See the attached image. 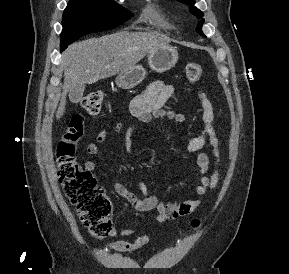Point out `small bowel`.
Masks as SVG:
<instances>
[{"mask_svg":"<svg viewBox=\"0 0 289 274\" xmlns=\"http://www.w3.org/2000/svg\"><path fill=\"white\" fill-rule=\"evenodd\" d=\"M175 91L172 84H167L163 81H154L150 83L145 90L137 96L131 104L133 115L137 122L126 129V135L129 138L136 130L138 124L148 123L154 119H167L181 123L185 117L181 113L166 108L167 101L171 98ZM197 96L200 100L201 113V129L198 135L191 138L184 146V152L194 155L195 163L198 168L199 181L195 185V193L199 196L196 199H187L179 203H164L158 199L155 194L148 192L146 186L139 182L137 189L142 197H138L134 192L127 189L122 183L115 182L113 185L114 191L122 198L126 199L137 211L149 212L156 211L155 219L157 222H165L176 220L180 217L188 216L196 211L203 203L201 196L208 191L214 189L219 181V167L221 163V152L219 140L214 128L215 112L214 107L208 96L197 91ZM115 132L122 133L124 125L117 123L114 127ZM109 136L107 130H103L96 136V142L91 143L87 147V152L91 155H96L100 152L99 144L105 141ZM206 146L211 147V155L214 162V171L208 174L211 166L210 155L204 151ZM85 170L92 172L96 168V163L92 159H87L84 162ZM133 233L129 229L113 230L112 236H130ZM151 241L150 236L140 235L133 241L116 239L106 243V247L112 251L126 253L138 250Z\"/></svg>","mask_w":289,"mask_h":274,"instance_id":"1","label":"small bowel"}]
</instances>
